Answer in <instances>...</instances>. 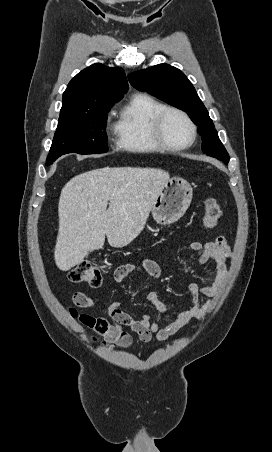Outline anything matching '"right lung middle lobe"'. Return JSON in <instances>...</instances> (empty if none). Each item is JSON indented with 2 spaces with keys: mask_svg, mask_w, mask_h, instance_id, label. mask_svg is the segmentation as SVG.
<instances>
[{
  "mask_svg": "<svg viewBox=\"0 0 272 452\" xmlns=\"http://www.w3.org/2000/svg\"><path fill=\"white\" fill-rule=\"evenodd\" d=\"M107 106L89 114L59 118L57 130L46 160L52 164L67 153L96 154L108 151L106 120Z\"/></svg>",
  "mask_w": 272,
  "mask_h": 452,
  "instance_id": "right-lung-middle-lobe-1",
  "label": "right lung middle lobe"
}]
</instances>
